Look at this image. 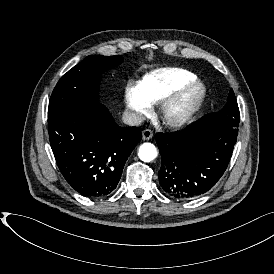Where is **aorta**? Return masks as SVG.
<instances>
[{"label":"aorta","mask_w":274,"mask_h":274,"mask_svg":"<svg viewBox=\"0 0 274 274\" xmlns=\"http://www.w3.org/2000/svg\"><path fill=\"white\" fill-rule=\"evenodd\" d=\"M157 154V149L152 143H143L138 151L139 158L144 162L153 161Z\"/></svg>","instance_id":"1"}]
</instances>
